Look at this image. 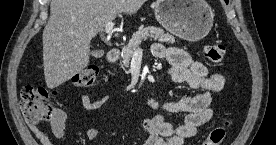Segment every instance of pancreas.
<instances>
[{"label":"pancreas","instance_id":"1","mask_svg":"<svg viewBox=\"0 0 276 145\" xmlns=\"http://www.w3.org/2000/svg\"><path fill=\"white\" fill-rule=\"evenodd\" d=\"M147 39L158 40L161 43H175L174 36L165 33L160 27L149 26L139 28V30L132 35L129 43L122 49V66H129L133 53L139 48L142 41H146Z\"/></svg>","mask_w":276,"mask_h":145}]
</instances>
